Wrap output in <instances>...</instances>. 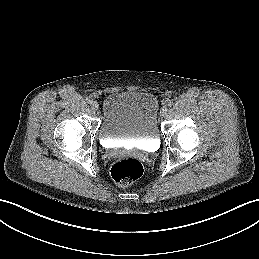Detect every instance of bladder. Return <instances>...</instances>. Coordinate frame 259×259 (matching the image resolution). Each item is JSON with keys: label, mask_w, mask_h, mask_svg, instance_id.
<instances>
[{"label": "bladder", "mask_w": 259, "mask_h": 259, "mask_svg": "<svg viewBox=\"0 0 259 259\" xmlns=\"http://www.w3.org/2000/svg\"><path fill=\"white\" fill-rule=\"evenodd\" d=\"M157 116L158 102L153 94L141 91L111 93L102 104L99 138L103 142H153L159 134Z\"/></svg>", "instance_id": "obj_1"}]
</instances>
